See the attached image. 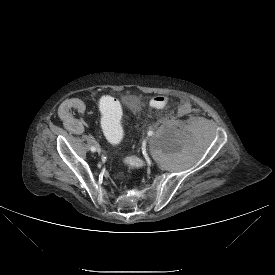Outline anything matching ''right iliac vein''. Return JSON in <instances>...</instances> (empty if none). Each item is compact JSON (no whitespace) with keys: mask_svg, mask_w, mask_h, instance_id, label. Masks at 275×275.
Listing matches in <instances>:
<instances>
[{"mask_svg":"<svg viewBox=\"0 0 275 275\" xmlns=\"http://www.w3.org/2000/svg\"><path fill=\"white\" fill-rule=\"evenodd\" d=\"M96 150H97L98 153H101V149L98 146H97Z\"/></svg>","mask_w":275,"mask_h":275,"instance_id":"right-iliac-vein-1","label":"right iliac vein"}]
</instances>
